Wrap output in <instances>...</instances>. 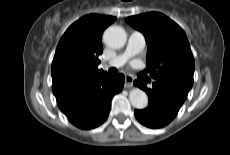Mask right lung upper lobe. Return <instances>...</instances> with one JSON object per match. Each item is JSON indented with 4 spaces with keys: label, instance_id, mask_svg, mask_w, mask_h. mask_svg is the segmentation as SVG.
Masks as SVG:
<instances>
[{
    "label": "right lung upper lobe",
    "instance_id": "obj_1",
    "mask_svg": "<svg viewBox=\"0 0 230 155\" xmlns=\"http://www.w3.org/2000/svg\"><path fill=\"white\" fill-rule=\"evenodd\" d=\"M115 17L90 14L74 22L61 37L51 66L55 96L77 90L107 74L98 70L102 33Z\"/></svg>",
    "mask_w": 230,
    "mask_h": 155
}]
</instances>
